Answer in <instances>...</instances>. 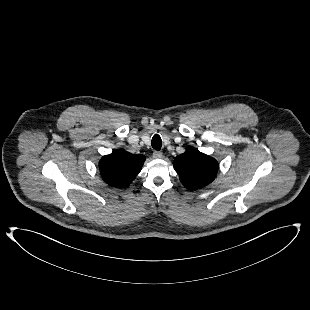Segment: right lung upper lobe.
Returning <instances> with one entry per match:
<instances>
[{
    "label": "right lung upper lobe",
    "mask_w": 310,
    "mask_h": 310,
    "mask_svg": "<svg viewBox=\"0 0 310 310\" xmlns=\"http://www.w3.org/2000/svg\"><path fill=\"white\" fill-rule=\"evenodd\" d=\"M145 156L118 149L103 156L99 168L103 180L114 187L128 186L140 172Z\"/></svg>",
    "instance_id": "obj_1"
}]
</instances>
